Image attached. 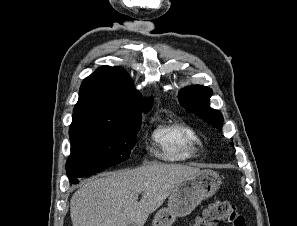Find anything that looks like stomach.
Masks as SVG:
<instances>
[{
	"label": "stomach",
	"instance_id": "obj_1",
	"mask_svg": "<svg viewBox=\"0 0 297 226\" xmlns=\"http://www.w3.org/2000/svg\"><path fill=\"white\" fill-rule=\"evenodd\" d=\"M222 180L212 170H202L195 177L180 181L172 190L166 208L160 209L153 226H171L178 217L189 215L204 199L214 195Z\"/></svg>",
	"mask_w": 297,
	"mask_h": 226
}]
</instances>
